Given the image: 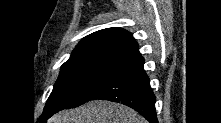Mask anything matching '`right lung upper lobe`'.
I'll use <instances>...</instances> for the list:
<instances>
[{"instance_id": "right-lung-upper-lobe-1", "label": "right lung upper lobe", "mask_w": 221, "mask_h": 123, "mask_svg": "<svg viewBox=\"0 0 221 123\" xmlns=\"http://www.w3.org/2000/svg\"><path fill=\"white\" fill-rule=\"evenodd\" d=\"M86 50H105L133 58L140 55L132 34L121 28H106L83 38L73 53Z\"/></svg>"}]
</instances>
